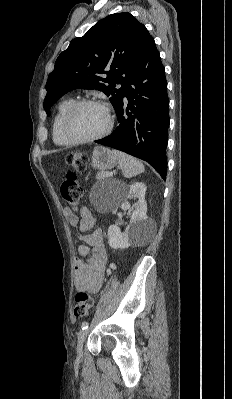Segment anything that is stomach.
<instances>
[{"label":"stomach","mask_w":232,"mask_h":399,"mask_svg":"<svg viewBox=\"0 0 232 399\" xmlns=\"http://www.w3.org/2000/svg\"><path fill=\"white\" fill-rule=\"evenodd\" d=\"M117 158L108 148L96 146L92 152L91 166L94 170H112L116 166Z\"/></svg>","instance_id":"0dacf381"}]
</instances>
